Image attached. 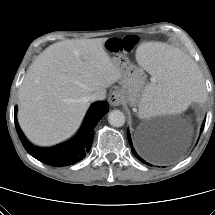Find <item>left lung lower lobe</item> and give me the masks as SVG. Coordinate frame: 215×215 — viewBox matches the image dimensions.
I'll list each match as a JSON object with an SVG mask.
<instances>
[{
  "instance_id": "0a47b994",
  "label": "left lung lower lobe",
  "mask_w": 215,
  "mask_h": 215,
  "mask_svg": "<svg viewBox=\"0 0 215 215\" xmlns=\"http://www.w3.org/2000/svg\"><path fill=\"white\" fill-rule=\"evenodd\" d=\"M203 128H204V123H203V125H202V127H201V131H203ZM127 136H128V140H129V144H130V146H131L132 152H133V154L135 155V157H136L137 159H139L142 163L151 166V164H149L148 162H146L142 157L146 158L147 160H153V161L156 160V159H154V158H152V157H150V156H148V155H146V154L139 155V154L136 152V150L134 149V147H133V144H132V140H131V136H130L129 130H127Z\"/></svg>"
}]
</instances>
